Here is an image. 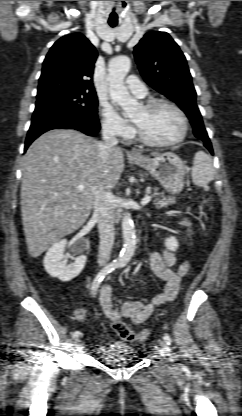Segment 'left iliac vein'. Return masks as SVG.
Instances as JSON below:
<instances>
[{
	"label": "left iliac vein",
	"mask_w": 242,
	"mask_h": 416,
	"mask_svg": "<svg viewBox=\"0 0 242 416\" xmlns=\"http://www.w3.org/2000/svg\"><path fill=\"white\" fill-rule=\"evenodd\" d=\"M158 348H159V351L162 352V353H168L169 352V347L167 346V344L165 342H163L161 340L158 343Z\"/></svg>",
	"instance_id": "left-iliac-vein-1"
}]
</instances>
